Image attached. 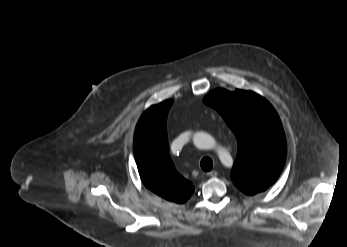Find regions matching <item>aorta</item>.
<instances>
[{
    "mask_svg": "<svg viewBox=\"0 0 347 247\" xmlns=\"http://www.w3.org/2000/svg\"><path fill=\"white\" fill-rule=\"evenodd\" d=\"M211 136L205 132H197L193 137V142L197 148L206 149L209 146Z\"/></svg>",
    "mask_w": 347,
    "mask_h": 247,
    "instance_id": "obj_1",
    "label": "aorta"
}]
</instances>
